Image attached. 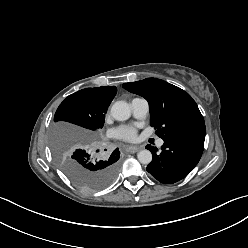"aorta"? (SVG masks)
I'll list each match as a JSON object with an SVG mask.
<instances>
[{"mask_svg": "<svg viewBox=\"0 0 248 248\" xmlns=\"http://www.w3.org/2000/svg\"><path fill=\"white\" fill-rule=\"evenodd\" d=\"M111 115L117 121H125L131 116V108L125 101H116L111 107ZM137 158L142 164H149L152 161V154L144 149L138 152Z\"/></svg>", "mask_w": 248, "mask_h": 248, "instance_id": "762f6f07", "label": "aorta"}]
</instances>
